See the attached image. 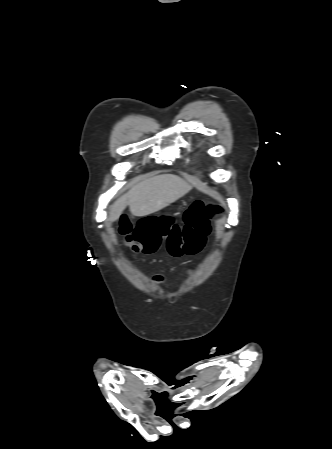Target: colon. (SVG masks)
Segmentation results:
<instances>
[{
  "mask_svg": "<svg viewBox=\"0 0 332 449\" xmlns=\"http://www.w3.org/2000/svg\"><path fill=\"white\" fill-rule=\"evenodd\" d=\"M221 212L217 205L195 201L185 212L184 225L162 216L141 219L133 226L123 220L117 227L120 238L137 253H155L162 245L172 257L194 255L209 233V220Z\"/></svg>",
  "mask_w": 332,
  "mask_h": 449,
  "instance_id": "5ec220e1",
  "label": "colon"
}]
</instances>
